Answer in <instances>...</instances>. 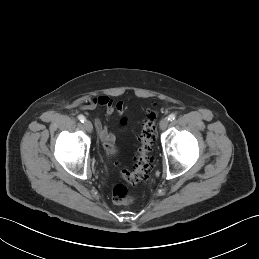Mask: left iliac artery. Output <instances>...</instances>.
<instances>
[{"instance_id":"44dca946","label":"left iliac artery","mask_w":259,"mask_h":259,"mask_svg":"<svg viewBox=\"0 0 259 259\" xmlns=\"http://www.w3.org/2000/svg\"><path fill=\"white\" fill-rule=\"evenodd\" d=\"M175 118H176V115L173 113L168 116L169 121H173Z\"/></svg>"}]
</instances>
